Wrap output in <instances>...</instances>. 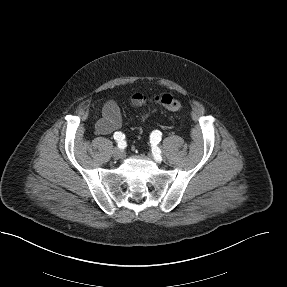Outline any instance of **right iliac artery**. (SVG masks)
<instances>
[{"label": "right iliac artery", "instance_id": "82829eb1", "mask_svg": "<svg viewBox=\"0 0 287 287\" xmlns=\"http://www.w3.org/2000/svg\"><path fill=\"white\" fill-rule=\"evenodd\" d=\"M114 139L118 142V147L124 149L126 147L125 135L121 132L114 133Z\"/></svg>", "mask_w": 287, "mask_h": 287}]
</instances>
